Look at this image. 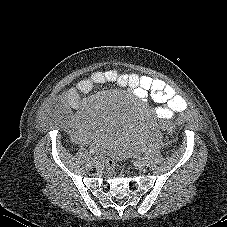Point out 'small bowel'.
<instances>
[{"mask_svg":"<svg viewBox=\"0 0 227 227\" xmlns=\"http://www.w3.org/2000/svg\"><path fill=\"white\" fill-rule=\"evenodd\" d=\"M104 84L128 89L139 100L150 96L160 104L154 108L153 114L162 121L167 118L172 119L182 113L186 107L185 100L174 87L159 78L135 73H118L115 70L95 71L79 80L59 97L62 103L75 110L74 114H66L62 117L61 127L78 144L92 142L95 146H100L99 140L90 136L91 126L85 114L88 101L83 96ZM168 132L172 133L173 129Z\"/></svg>","mask_w":227,"mask_h":227,"instance_id":"1","label":"small bowel"}]
</instances>
